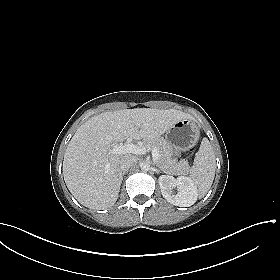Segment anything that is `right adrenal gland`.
<instances>
[{"mask_svg":"<svg viewBox=\"0 0 280 280\" xmlns=\"http://www.w3.org/2000/svg\"><path fill=\"white\" fill-rule=\"evenodd\" d=\"M126 173H127V172H126V171H124V172L122 173V176H124Z\"/></svg>","mask_w":280,"mask_h":280,"instance_id":"1","label":"right adrenal gland"}]
</instances>
